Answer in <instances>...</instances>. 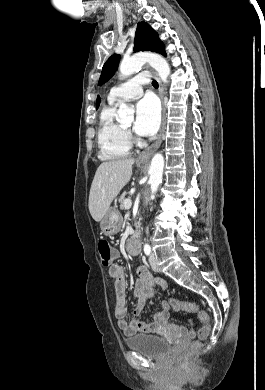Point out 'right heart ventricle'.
Returning a JSON list of instances; mask_svg holds the SVG:
<instances>
[{
  "label": "right heart ventricle",
  "mask_w": 265,
  "mask_h": 390,
  "mask_svg": "<svg viewBox=\"0 0 265 390\" xmlns=\"http://www.w3.org/2000/svg\"><path fill=\"white\" fill-rule=\"evenodd\" d=\"M116 104L109 102L100 113L98 129L99 157L112 161L127 157L131 142L124 128L115 120Z\"/></svg>",
  "instance_id": "right-heart-ventricle-1"
}]
</instances>
